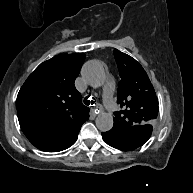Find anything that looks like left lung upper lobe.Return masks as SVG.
<instances>
[{
  "label": "left lung upper lobe",
  "instance_id": "left-lung-upper-lobe-1",
  "mask_svg": "<svg viewBox=\"0 0 193 193\" xmlns=\"http://www.w3.org/2000/svg\"><path fill=\"white\" fill-rule=\"evenodd\" d=\"M114 56L120 73L117 103L122 110L115 112L114 126H151L158 115V100L143 67L131 56L115 49Z\"/></svg>",
  "mask_w": 193,
  "mask_h": 193
}]
</instances>
